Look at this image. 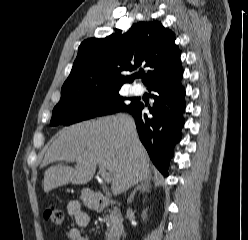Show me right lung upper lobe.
<instances>
[{"label":"right lung upper lobe","instance_id":"1","mask_svg":"<svg viewBox=\"0 0 248 240\" xmlns=\"http://www.w3.org/2000/svg\"><path fill=\"white\" fill-rule=\"evenodd\" d=\"M175 34L159 21L138 22L123 35L103 39L89 38L78 48L71 73L62 86L65 89H120L137 74L125 75L141 66L149 67L143 80L148 87L181 69L180 50Z\"/></svg>","mask_w":248,"mask_h":240}]
</instances>
